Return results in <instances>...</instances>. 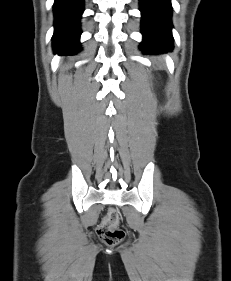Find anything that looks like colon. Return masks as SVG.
I'll return each mask as SVG.
<instances>
[{"mask_svg": "<svg viewBox=\"0 0 231 281\" xmlns=\"http://www.w3.org/2000/svg\"><path fill=\"white\" fill-rule=\"evenodd\" d=\"M100 238L109 245L120 242L125 233L119 229V214L117 210L111 209L107 212L98 227Z\"/></svg>", "mask_w": 231, "mask_h": 281, "instance_id": "1", "label": "colon"}]
</instances>
